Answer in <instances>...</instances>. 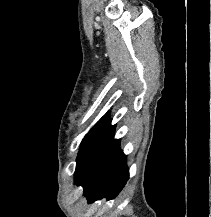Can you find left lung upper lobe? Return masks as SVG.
Here are the masks:
<instances>
[{
    "instance_id": "left-lung-upper-lobe-1",
    "label": "left lung upper lobe",
    "mask_w": 211,
    "mask_h": 217,
    "mask_svg": "<svg viewBox=\"0 0 211 217\" xmlns=\"http://www.w3.org/2000/svg\"><path fill=\"white\" fill-rule=\"evenodd\" d=\"M114 132L115 126L111 125L107 113L86 134L81 142V147L77 156V166L74 175L75 179L84 171L100 149L113 138Z\"/></svg>"
}]
</instances>
